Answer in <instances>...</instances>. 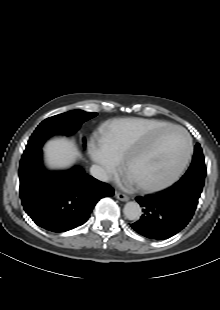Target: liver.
<instances>
[{"mask_svg":"<svg viewBox=\"0 0 220 310\" xmlns=\"http://www.w3.org/2000/svg\"><path fill=\"white\" fill-rule=\"evenodd\" d=\"M46 162L51 168H66L80 156L75 145L66 139H54L45 145Z\"/></svg>","mask_w":220,"mask_h":310,"instance_id":"obj_1","label":"liver"}]
</instances>
